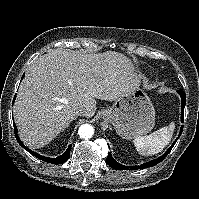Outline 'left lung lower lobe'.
Wrapping results in <instances>:
<instances>
[{
  "label": "left lung lower lobe",
  "mask_w": 199,
  "mask_h": 199,
  "mask_svg": "<svg viewBox=\"0 0 199 199\" xmlns=\"http://www.w3.org/2000/svg\"><path fill=\"white\" fill-rule=\"evenodd\" d=\"M178 92H179V95L181 96V100H182L181 121L184 122V107L186 104V95L182 90H179ZM182 130H183V126L180 129L179 136L181 135ZM178 138L179 137H177V139L174 141V143L171 145V147L162 156L158 157L157 159L146 162L142 165H139V166L122 165V164L118 163L116 160H114V158L112 157V155L110 153L108 154V156L106 158V162L111 168L116 169V170H137V169L152 167V166H155L156 164L160 163L161 161H163V159L168 155V153L171 151L172 147L175 145Z\"/></svg>",
  "instance_id": "left-lung-lower-lobe-1"
}]
</instances>
